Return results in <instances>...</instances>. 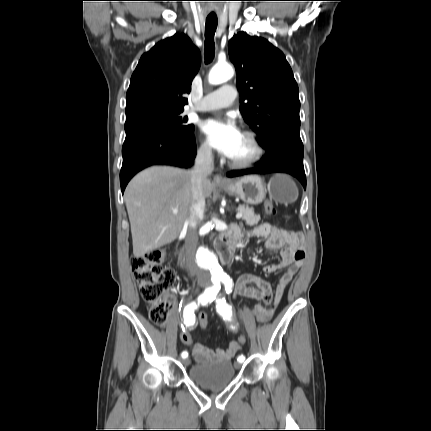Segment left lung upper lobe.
Here are the masks:
<instances>
[{"label": "left lung upper lobe", "instance_id": "1", "mask_svg": "<svg viewBox=\"0 0 431 431\" xmlns=\"http://www.w3.org/2000/svg\"><path fill=\"white\" fill-rule=\"evenodd\" d=\"M237 71L240 111L268 149L276 141L300 138L299 89L284 54L264 38L245 32L228 43Z\"/></svg>", "mask_w": 431, "mask_h": 431}]
</instances>
